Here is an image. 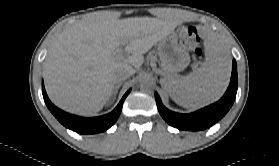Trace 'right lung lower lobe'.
Masks as SVG:
<instances>
[{
	"mask_svg": "<svg viewBox=\"0 0 279 166\" xmlns=\"http://www.w3.org/2000/svg\"><path fill=\"white\" fill-rule=\"evenodd\" d=\"M129 92L130 90L125 93L117 107L109 114L94 118H84L68 114L54 106L46 94L44 85H42L43 98L51 113L65 127L80 134L99 133L109 129L117 121L122 110L123 102Z\"/></svg>",
	"mask_w": 279,
	"mask_h": 166,
	"instance_id": "1",
	"label": "right lung lower lobe"
}]
</instances>
